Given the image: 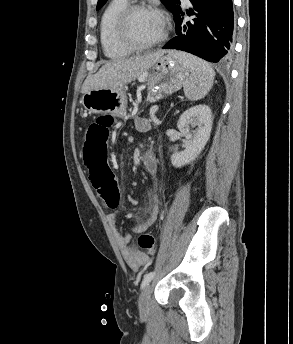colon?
I'll return each instance as SVG.
<instances>
[{"label":"colon","mask_w":293,"mask_h":344,"mask_svg":"<svg viewBox=\"0 0 293 344\" xmlns=\"http://www.w3.org/2000/svg\"><path fill=\"white\" fill-rule=\"evenodd\" d=\"M114 123L111 116H101L91 122L86 130L83 156L90 171V180L97 194L109 208H116L120 201L119 187L108 164L110 129ZM156 241L152 234L142 233L137 240V251L143 256L155 252Z\"/></svg>","instance_id":"colon-1"}]
</instances>
